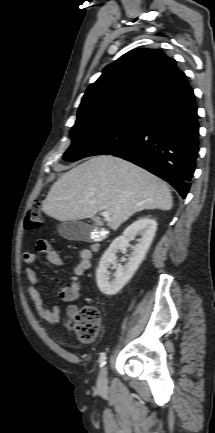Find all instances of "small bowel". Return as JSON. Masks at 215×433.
Returning <instances> with one entry per match:
<instances>
[{"mask_svg": "<svg viewBox=\"0 0 215 433\" xmlns=\"http://www.w3.org/2000/svg\"><path fill=\"white\" fill-rule=\"evenodd\" d=\"M35 251L45 255L47 261L53 266L63 267L66 265L63 258L54 250L50 244L45 240H39L35 244ZM92 251L88 248L81 249L73 259V274L70 278L69 284L62 286L59 291V297L68 303L66 313L70 317H74L77 313L76 302L81 294V281L80 277L90 269ZM36 253L24 252L23 260L28 265L26 268V277L28 280L27 293L31 298L34 307L38 314L47 322L56 324L61 319V311L57 306L48 307L38 289V279L33 264L36 262Z\"/></svg>", "mask_w": 215, "mask_h": 433, "instance_id": "obj_1", "label": "small bowel"}]
</instances>
